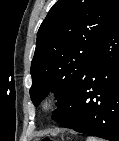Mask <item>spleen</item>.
<instances>
[{"mask_svg": "<svg viewBox=\"0 0 119 141\" xmlns=\"http://www.w3.org/2000/svg\"><path fill=\"white\" fill-rule=\"evenodd\" d=\"M86 141H98L95 137H88Z\"/></svg>", "mask_w": 119, "mask_h": 141, "instance_id": "1", "label": "spleen"}]
</instances>
